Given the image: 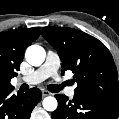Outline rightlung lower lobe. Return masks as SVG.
Masks as SVG:
<instances>
[{
  "label": "right lung lower lobe",
  "instance_id": "obj_1",
  "mask_svg": "<svg viewBox=\"0 0 119 119\" xmlns=\"http://www.w3.org/2000/svg\"><path fill=\"white\" fill-rule=\"evenodd\" d=\"M12 90L0 93V119H30L34 107L41 101L42 93L32 88L27 93L11 94Z\"/></svg>",
  "mask_w": 119,
  "mask_h": 119
}]
</instances>
